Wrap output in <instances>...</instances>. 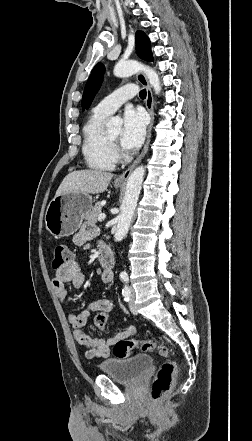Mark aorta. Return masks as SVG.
Instances as JSON below:
<instances>
[{
    "label": "aorta",
    "mask_w": 252,
    "mask_h": 441,
    "mask_svg": "<svg viewBox=\"0 0 252 441\" xmlns=\"http://www.w3.org/2000/svg\"><path fill=\"white\" fill-rule=\"evenodd\" d=\"M145 73L151 87L156 94L161 92L160 79L155 70L149 66L143 65L135 60L119 61L114 67V75L117 77H128L137 72ZM119 118H111L107 122L109 129L119 128L121 126ZM145 168L141 165L130 174L127 184L126 192L122 202L121 213L117 217V228L114 235L115 241H121L129 230L131 220L133 218L135 208L137 206L138 198L141 191L142 182L144 179Z\"/></svg>",
    "instance_id": "1"
}]
</instances>
